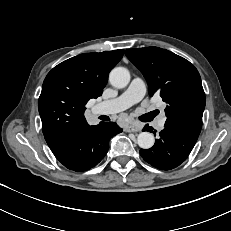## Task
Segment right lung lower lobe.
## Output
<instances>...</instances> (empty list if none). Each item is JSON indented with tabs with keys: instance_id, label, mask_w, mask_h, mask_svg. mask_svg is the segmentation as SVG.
<instances>
[{
	"instance_id": "1",
	"label": "right lung lower lobe",
	"mask_w": 231,
	"mask_h": 231,
	"mask_svg": "<svg viewBox=\"0 0 231 231\" xmlns=\"http://www.w3.org/2000/svg\"><path fill=\"white\" fill-rule=\"evenodd\" d=\"M121 132L115 122L88 126L69 137L54 155L66 168L76 172L86 171L104 158L110 138Z\"/></svg>"
}]
</instances>
